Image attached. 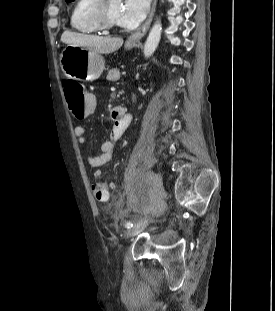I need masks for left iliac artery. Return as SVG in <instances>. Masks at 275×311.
I'll list each match as a JSON object with an SVG mask.
<instances>
[{"label": "left iliac artery", "mask_w": 275, "mask_h": 311, "mask_svg": "<svg viewBox=\"0 0 275 311\" xmlns=\"http://www.w3.org/2000/svg\"><path fill=\"white\" fill-rule=\"evenodd\" d=\"M133 226V223L132 222H127L126 224H125V227L126 228H130V227H132Z\"/></svg>", "instance_id": "obj_1"}]
</instances>
